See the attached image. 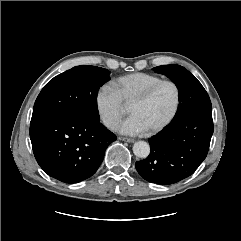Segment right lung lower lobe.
Instances as JSON below:
<instances>
[{
    "label": "right lung lower lobe",
    "mask_w": 241,
    "mask_h": 241,
    "mask_svg": "<svg viewBox=\"0 0 241 241\" xmlns=\"http://www.w3.org/2000/svg\"><path fill=\"white\" fill-rule=\"evenodd\" d=\"M34 156L52 178L72 184L91 177L115 134L99 121L74 114H47L31 119Z\"/></svg>",
    "instance_id": "1"
}]
</instances>
